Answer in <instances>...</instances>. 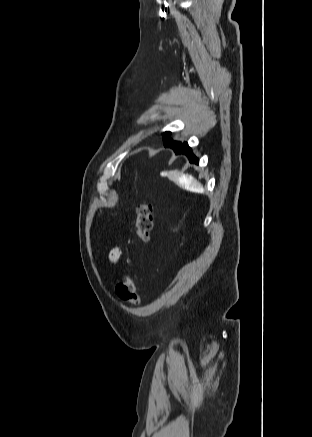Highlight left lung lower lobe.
<instances>
[{"instance_id": "obj_1", "label": "left lung lower lobe", "mask_w": 312, "mask_h": 437, "mask_svg": "<svg viewBox=\"0 0 312 437\" xmlns=\"http://www.w3.org/2000/svg\"><path fill=\"white\" fill-rule=\"evenodd\" d=\"M164 145L165 147L172 148L176 154L186 155L190 163H195V164L199 163V160L194 156L187 142L182 143V142L172 141V142L164 143Z\"/></svg>"}]
</instances>
